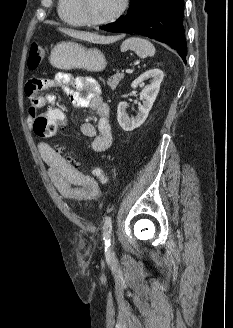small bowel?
Listing matches in <instances>:
<instances>
[{
	"mask_svg": "<svg viewBox=\"0 0 233 328\" xmlns=\"http://www.w3.org/2000/svg\"><path fill=\"white\" fill-rule=\"evenodd\" d=\"M59 89L79 108H91L97 116L96 126L85 122L81 132L91 139V148L96 152L109 150L113 145V132L110 122V109L103 100L98 82L91 77H73L60 72L53 79H32L26 85V95L30 100L27 120L33 121L39 110L50 106L54 94L44 95L43 91ZM38 150L48 167V176L62 196L72 200H90L99 194V185L91 176L81 173L77 167L66 160L56 149L45 142L38 144Z\"/></svg>",
	"mask_w": 233,
	"mask_h": 328,
	"instance_id": "obj_1",
	"label": "small bowel"
}]
</instances>
